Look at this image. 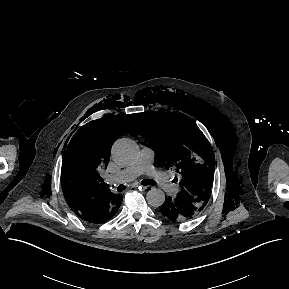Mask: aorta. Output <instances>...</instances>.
I'll list each match as a JSON object with an SVG mask.
<instances>
[{"label":"aorta","instance_id":"aorta-1","mask_svg":"<svg viewBox=\"0 0 289 289\" xmlns=\"http://www.w3.org/2000/svg\"><path fill=\"white\" fill-rule=\"evenodd\" d=\"M113 159L122 165L133 162L139 153V148L136 142L128 138L117 140L112 146ZM146 199L148 204L153 207L161 206L165 201V194L162 190L152 188L147 192Z\"/></svg>","mask_w":289,"mask_h":289}]
</instances>
